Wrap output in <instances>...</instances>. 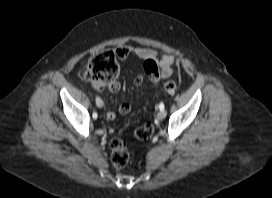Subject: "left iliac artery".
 <instances>
[{
	"instance_id": "44dca946",
	"label": "left iliac artery",
	"mask_w": 272,
	"mask_h": 198,
	"mask_svg": "<svg viewBox=\"0 0 272 198\" xmlns=\"http://www.w3.org/2000/svg\"><path fill=\"white\" fill-rule=\"evenodd\" d=\"M159 108H160V110H164V103H163V102H161V103L159 104Z\"/></svg>"
}]
</instances>
